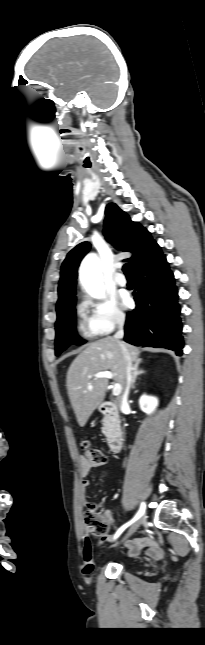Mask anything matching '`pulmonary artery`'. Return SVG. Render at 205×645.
<instances>
[{
    "label": "pulmonary artery",
    "instance_id": "obj_1",
    "mask_svg": "<svg viewBox=\"0 0 205 645\" xmlns=\"http://www.w3.org/2000/svg\"><path fill=\"white\" fill-rule=\"evenodd\" d=\"M114 281H115V283H116L117 285H119V286H121V287H125V286L127 285L126 277H125L122 273H120V272H117V273L115 274V276H114Z\"/></svg>",
    "mask_w": 205,
    "mask_h": 645
}]
</instances>
